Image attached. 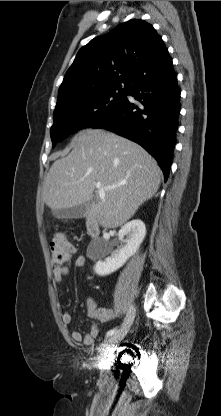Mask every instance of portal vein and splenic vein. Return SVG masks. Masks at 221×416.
<instances>
[{
	"label": "portal vein and splenic vein",
	"instance_id": "1",
	"mask_svg": "<svg viewBox=\"0 0 221 416\" xmlns=\"http://www.w3.org/2000/svg\"><path fill=\"white\" fill-rule=\"evenodd\" d=\"M122 184H124V183H121L119 185H122ZM115 187H116V185L108 186V187H103L101 185V183H96V188L98 189L99 194H103L105 190H110V189H113Z\"/></svg>",
	"mask_w": 221,
	"mask_h": 416
}]
</instances>
